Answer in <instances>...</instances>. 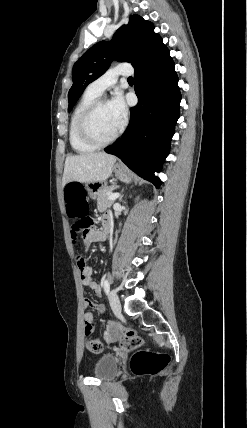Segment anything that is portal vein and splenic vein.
Segmentation results:
<instances>
[{
    "label": "portal vein and splenic vein",
    "mask_w": 247,
    "mask_h": 428,
    "mask_svg": "<svg viewBox=\"0 0 247 428\" xmlns=\"http://www.w3.org/2000/svg\"><path fill=\"white\" fill-rule=\"evenodd\" d=\"M119 193H112L109 195L108 199L109 200H116L119 197Z\"/></svg>",
    "instance_id": "1"
}]
</instances>
